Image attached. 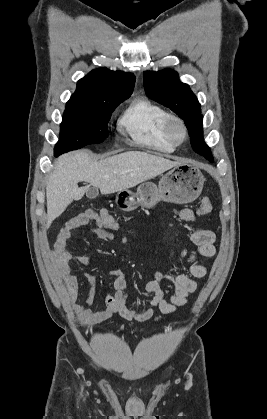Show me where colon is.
Wrapping results in <instances>:
<instances>
[{"instance_id":"1","label":"colon","mask_w":267,"mask_h":419,"mask_svg":"<svg viewBox=\"0 0 267 419\" xmlns=\"http://www.w3.org/2000/svg\"><path fill=\"white\" fill-rule=\"evenodd\" d=\"M212 210V204L209 199H203L199 208L198 214L199 215H206L210 213ZM99 220L101 225L109 230L110 232L114 233L123 243H128L130 241V237L127 234H117V232H122V227L119 222L107 211L101 210L98 213Z\"/></svg>"}]
</instances>
